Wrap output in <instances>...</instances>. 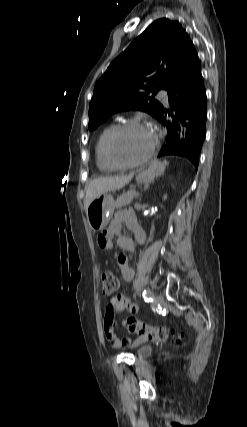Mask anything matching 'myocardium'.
<instances>
[{
    "instance_id": "f54148a6",
    "label": "myocardium",
    "mask_w": 247,
    "mask_h": 427,
    "mask_svg": "<svg viewBox=\"0 0 247 427\" xmlns=\"http://www.w3.org/2000/svg\"><path fill=\"white\" fill-rule=\"evenodd\" d=\"M131 127L149 128L146 124L141 123L140 121L128 120V121H125V122H122V123L116 125L115 128L110 132V134L108 135V137L106 139V142H105L106 158L109 161V163L117 169L132 168V167L140 166V165L147 163L152 158V156L154 155L156 148L158 146L159 135L155 130H152L149 128L150 130H152V132L154 134V140H153V143H152L149 151L146 153V155H144L142 158H140L136 161H132V162H123L120 159H118L114 153L115 140L124 130L131 128Z\"/></svg>"
}]
</instances>
